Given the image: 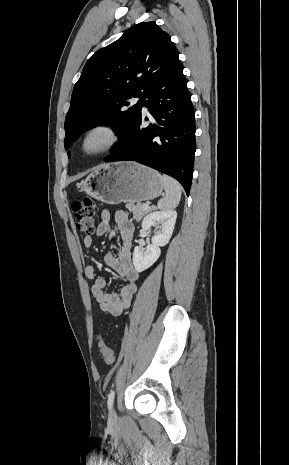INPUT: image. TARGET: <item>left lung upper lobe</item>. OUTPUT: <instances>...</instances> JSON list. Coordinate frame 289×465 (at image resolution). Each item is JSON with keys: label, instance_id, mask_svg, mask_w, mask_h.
<instances>
[{"label": "left lung upper lobe", "instance_id": "1", "mask_svg": "<svg viewBox=\"0 0 289 465\" xmlns=\"http://www.w3.org/2000/svg\"><path fill=\"white\" fill-rule=\"evenodd\" d=\"M178 55L170 36L153 21L135 25L98 50L74 86L65 119V148L83 131L106 121L116 123L120 146L141 114L145 92L181 66ZM135 97H140L137 104L126 108Z\"/></svg>", "mask_w": 289, "mask_h": 465}]
</instances>
